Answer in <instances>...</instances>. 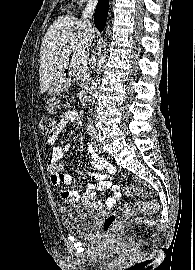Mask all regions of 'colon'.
<instances>
[{
	"label": "colon",
	"instance_id": "obj_1",
	"mask_svg": "<svg viewBox=\"0 0 195 270\" xmlns=\"http://www.w3.org/2000/svg\"><path fill=\"white\" fill-rule=\"evenodd\" d=\"M59 106V101L50 98L46 101V109L53 113ZM40 130L44 135L50 136L55 130V121L51 117H43L39 122ZM122 192L126 195L141 196L142 191L135 186H124ZM158 209V203L155 200H144L132 205H125L110 213L102 222L101 228L105 234H111L116 226L124 219L135 213H154Z\"/></svg>",
	"mask_w": 195,
	"mask_h": 270
}]
</instances>
